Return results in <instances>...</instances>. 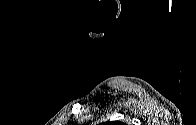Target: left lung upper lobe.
Here are the masks:
<instances>
[{
	"label": "left lung upper lobe",
	"mask_w": 196,
	"mask_h": 125,
	"mask_svg": "<svg viewBox=\"0 0 196 125\" xmlns=\"http://www.w3.org/2000/svg\"><path fill=\"white\" fill-rule=\"evenodd\" d=\"M105 124L106 125H121L122 123L112 121V122H106Z\"/></svg>",
	"instance_id": "1"
}]
</instances>
